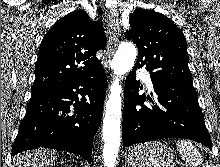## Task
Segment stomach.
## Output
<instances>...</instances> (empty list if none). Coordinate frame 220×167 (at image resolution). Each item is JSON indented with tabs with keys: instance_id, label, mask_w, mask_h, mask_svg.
Listing matches in <instances>:
<instances>
[{
	"instance_id": "stomach-1",
	"label": "stomach",
	"mask_w": 220,
	"mask_h": 167,
	"mask_svg": "<svg viewBox=\"0 0 220 167\" xmlns=\"http://www.w3.org/2000/svg\"><path fill=\"white\" fill-rule=\"evenodd\" d=\"M127 161L131 167H174V154L165 144L148 142L132 147Z\"/></svg>"
}]
</instances>
